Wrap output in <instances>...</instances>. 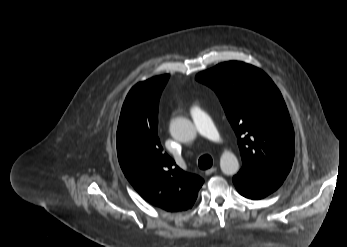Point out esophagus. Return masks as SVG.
<instances>
[{"instance_id": "34e87169", "label": "esophagus", "mask_w": 347, "mask_h": 247, "mask_svg": "<svg viewBox=\"0 0 347 247\" xmlns=\"http://www.w3.org/2000/svg\"><path fill=\"white\" fill-rule=\"evenodd\" d=\"M217 170V167L213 166L211 168H209L208 170L205 171L206 175H210L212 173H214Z\"/></svg>"}]
</instances>
